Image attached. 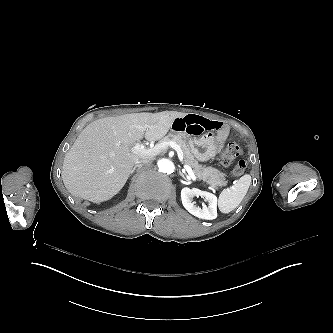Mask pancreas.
<instances>
[{"instance_id": "pancreas-1", "label": "pancreas", "mask_w": 333, "mask_h": 333, "mask_svg": "<svg viewBox=\"0 0 333 333\" xmlns=\"http://www.w3.org/2000/svg\"><path fill=\"white\" fill-rule=\"evenodd\" d=\"M169 141H174L178 145H180L184 157L182 163L185 165H189L193 169V172L198 180L206 182L213 189H218L219 187L227 185L228 182L226 180V175L223 172L212 166H205L199 164V162L191 153V140H187L184 135L179 133H169L168 135L163 137L159 141V143Z\"/></svg>"}]
</instances>
